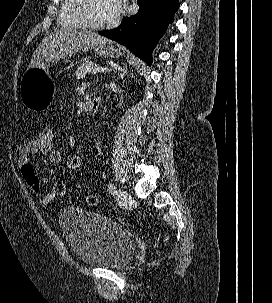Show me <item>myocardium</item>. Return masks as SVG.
Instances as JSON below:
<instances>
[{"label": "myocardium", "mask_w": 272, "mask_h": 303, "mask_svg": "<svg viewBox=\"0 0 272 303\" xmlns=\"http://www.w3.org/2000/svg\"><path fill=\"white\" fill-rule=\"evenodd\" d=\"M89 3L90 0H77L76 4V15L85 25V27L93 30H101L112 27L114 25V20H110L106 23H96L89 16Z\"/></svg>", "instance_id": "obj_1"}]
</instances>
